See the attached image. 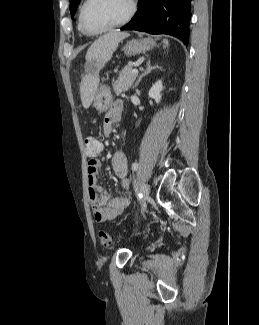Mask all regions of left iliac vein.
I'll return each mask as SVG.
<instances>
[{
    "instance_id": "obj_1",
    "label": "left iliac vein",
    "mask_w": 259,
    "mask_h": 325,
    "mask_svg": "<svg viewBox=\"0 0 259 325\" xmlns=\"http://www.w3.org/2000/svg\"><path fill=\"white\" fill-rule=\"evenodd\" d=\"M149 192H150V187L148 184L143 183L141 186V197H142V201L146 200L149 196Z\"/></svg>"
}]
</instances>
